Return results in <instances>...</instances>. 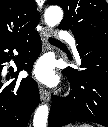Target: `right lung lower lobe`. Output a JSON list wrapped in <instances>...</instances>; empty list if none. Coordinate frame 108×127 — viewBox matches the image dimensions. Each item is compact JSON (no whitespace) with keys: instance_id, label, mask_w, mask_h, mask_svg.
Returning a JSON list of instances; mask_svg holds the SVG:
<instances>
[{"instance_id":"right-lung-lower-lobe-1","label":"right lung lower lobe","mask_w":108,"mask_h":127,"mask_svg":"<svg viewBox=\"0 0 108 127\" xmlns=\"http://www.w3.org/2000/svg\"><path fill=\"white\" fill-rule=\"evenodd\" d=\"M13 49L19 52L15 59L18 71L31 73L33 63L42 49L39 33L32 30L17 40L0 43V127H26L31 113L40 102L39 89L34 80L29 77L9 80V77L2 76L3 63L13 58L10 56ZM17 73H13L12 78Z\"/></svg>"}]
</instances>
